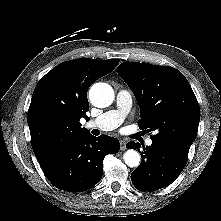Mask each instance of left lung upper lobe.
I'll return each instance as SVG.
<instances>
[{
  "label": "left lung upper lobe",
  "mask_w": 221,
  "mask_h": 221,
  "mask_svg": "<svg viewBox=\"0 0 221 221\" xmlns=\"http://www.w3.org/2000/svg\"><path fill=\"white\" fill-rule=\"evenodd\" d=\"M117 73L140 105L139 128L155 131L152 142L188 157L197 135L200 109L185 76L170 66L137 62L121 63Z\"/></svg>",
  "instance_id": "5c2ea615"
}]
</instances>
